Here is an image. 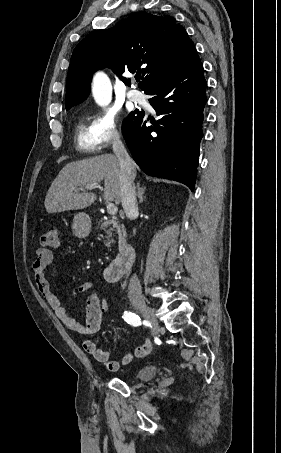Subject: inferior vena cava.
<instances>
[{"instance_id": "inferior-vena-cava-1", "label": "inferior vena cava", "mask_w": 281, "mask_h": 453, "mask_svg": "<svg viewBox=\"0 0 281 453\" xmlns=\"http://www.w3.org/2000/svg\"><path fill=\"white\" fill-rule=\"evenodd\" d=\"M113 152L118 156L120 170V190L121 202L124 212L128 218H134L138 214V206L136 202L135 184L132 178V158H130L119 134H115L113 140ZM129 299L131 301H141L143 299L140 281L137 275H133L129 283Z\"/></svg>"}]
</instances>
